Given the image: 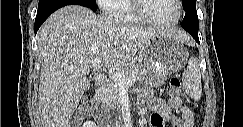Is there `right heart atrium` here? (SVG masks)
<instances>
[{
	"instance_id": "1",
	"label": "right heart atrium",
	"mask_w": 243,
	"mask_h": 127,
	"mask_svg": "<svg viewBox=\"0 0 243 127\" xmlns=\"http://www.w3.org/2000/svg\"><path fill=\"white\" fill-rule=\"evenodd\" d=\"M114 0H97L98 5L101 7L103 13L111 14V4Z\"/></svg>"
}]
</instances>
